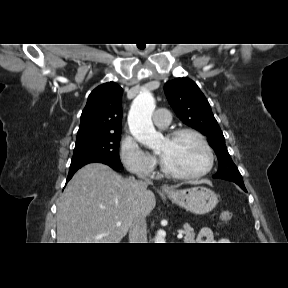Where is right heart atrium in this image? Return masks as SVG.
Wrapping results in <instances>:
<instances>
[{
  "label": "right heart atrium",
  "instance_id": "obj_1",
  "mask_svg": "<svg viewBox=\"0 0 288 288\" xmlns=\"http://www.w3.org/2000/svg\"><path fill=\"white\" fill-rule=\"evenodd\" d=\"M121 160L131 173L140 176L153 174L156 167V160L130 136H125L121 141Z\"/></svg>",
  "mask_w": 288,
  "mask_h": 288
}]
</instances>
